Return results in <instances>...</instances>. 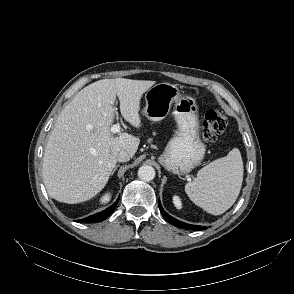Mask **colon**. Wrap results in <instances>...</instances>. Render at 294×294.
I'll use <instances>...</instances> for the list:
<instances>
[{
	"mask_svg": "<svg viewBox=\"0 0 294 294\" xmlns=\"http://www.w3.org/2000/svg\"><path fill=\"white\" fill-rule=\"evenodd\" d=\"M227 127V119L219 109H210L206 112L202 124L201 137L206 143L213 142Z\"/></svg>",
	"mask_w": 294,
	"mask_h": 294,
	"instance_id": "1",
	"label": "colon"
}]
</instances>
